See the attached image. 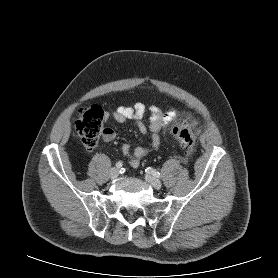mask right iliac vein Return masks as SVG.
Returning a JSON list of instances; mask_svg holds the SVG:
<instances>
[{
    "label": "right iliac vein",
    "instance_id": "63e3f726",
    "mask_svg": "<svg viewBox=\"0 0 278 278\" xmlns=\"http://www.w3.org/2000/svg\"><path fill=\"white\" fill-rule=\"evenodd\" d=\"M119 176V169L114 167L110 170L111 179H116Z\"/></svg>",
    "mask_w": 278,
    "mask_h": 278
}]
</instances>
